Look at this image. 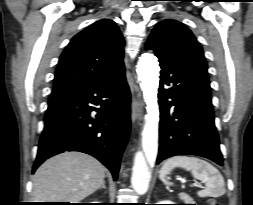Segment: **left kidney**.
Listing matches in <instances>:
<instances>
[{
	"instance_id": "1",
	"label": "left kidney",
	"mask_w": 253,
	"mask_h": 205,
	"mask_svg": "<svg viewBox=\"0 0 253 205\" xmlns=\"http://www.w3.org/2000/svg\"><path fill=\"white\" fill-rule=\"evenodd\" d=\"M191 203L194 204L193 201ZM157 204H175V203L171 202L170 200H163V201L158 202Z\"/></svg>"
}]
</instances>
